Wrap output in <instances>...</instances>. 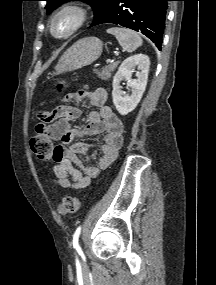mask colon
Instances as JSON below:
<instances>
[{
    "mask_svg": "<svg viewBox=\"0 0 216 285\" xmlns=\"http://www.w3.org/2000/svg\"><path fill=\"white\" fill-rule=\"evenodd\" d=\"M53 90L59 92L61 90L60 85L53 87ZM30 146L33 153L41 161H49L55 156V149L52 139L45 134V136H40L37 133L30 141ZM80 206V200L76 196L65 197L58 205V212L62 215L73 214L78 211Z\"/></svg>",
    "mask_w": 216,
    "mask_h": 285,
    "instance_id": "colon-1",
    "label": "colon"
}]
</instances>
